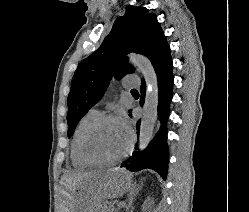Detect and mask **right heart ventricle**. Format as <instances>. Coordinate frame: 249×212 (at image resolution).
Listing matches in <instances>:
<instances>
[{"instance_id":"right-heart-ventricle-1","label":"right heart ventricle","mask_w":249,"mask_h":212,"mask_svg":"<svg viewBox=\"0 0 249 212\" xmlns=\"http://www.w3.org/2000/svg\"><path fill=\"white\" fill-rule=\"evenodd\" d=\"M100 113L97 109H89L78 121L69 144V160L73 168L83 170L89 165L85 163L79 154V141L86 126L94 120Z\"/></svg>"}]
</instances>
